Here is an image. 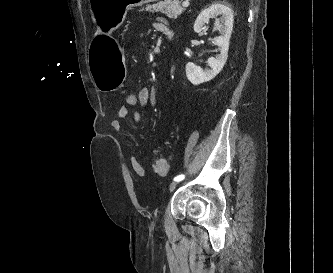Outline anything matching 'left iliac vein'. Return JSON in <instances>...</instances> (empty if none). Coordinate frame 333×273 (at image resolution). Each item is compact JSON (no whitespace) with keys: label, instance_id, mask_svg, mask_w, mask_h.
Listing matches in <instances>:
<instances>
[{"label":"left iliac vein","instance_id":"4c4485c4","mask_svg":"<svg viewBox=\"0 0 333 273\" xmlns=\"http://www.w3.org/2000/svg\"><path fill=\"white\" fill-rule=\"evenodd\" d=\"M178 183H179V181H174V182H172V183L169 185L168 190H169L170 192L173 191V190L177 187Z\"/></svg>","mask_w":333,"mask_h":273}]
</instances>
